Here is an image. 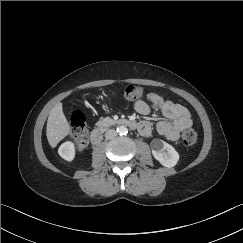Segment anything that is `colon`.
<instances>
[{
  "label": "colon",
  "mask_w": 243,
  "mask_h": 243,
  "mask_svg": "<svg viewBox=\"0 0 243 243\" xmlns=\"http://www.w3.org/2000/svg\"><path fill=\"white\" fill-rule=\"evenodd\" d=\"M125 97L129 100L136 101L142 96V89L135 85H129L125 89ZM71 132L76 140V147L79 151L86 149L87 141V128L86 118L82 111L76 110L70 117ZM197 140V133L193 129H187L182 134V141L186 146L193 145Z\"/></svg>",
  "instance_id": "1"
}]
</instances>
